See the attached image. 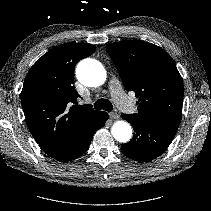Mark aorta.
<instances>
[{"mask_svg":"<svg viewBox=\"0 0 211 211\" xmlns=\"http://www.w3.org/2000/svg\"><path fill=\"white\" fill-rule=\"evenodd\" d=\"M76 76L83 85L97 87L105 82L107 74L104 66L99 61L84 59L77 65ZM111 132L113 137L121 143L128 142L132 136V128L125 121H117L112 126Z\"/></svg>","mask_w":211,"mask_h":211,"instance_id":"762f6f07","label":"aorta"}]
</instances>
